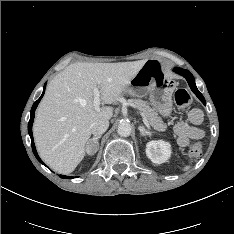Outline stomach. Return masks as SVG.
I'll use <instances>...</instances> for the list:
<instances>
[{"label":"stomach","instance_id":"0dacf381","mask_svg":"<svg viewBox=\"0 0 234 234\" xmlns=\"http://www.w3.org/2000/svg\"><path fill=\"white\" fill-rule=\"evenodd\" d=\"M176 83L163 66L155 60H148L131 79L125 93L135 97L149 94L152 106L163 116L171 114L173 92Z\"/></svg>","mask_w":234,"mask_h":234}]
</instances>
